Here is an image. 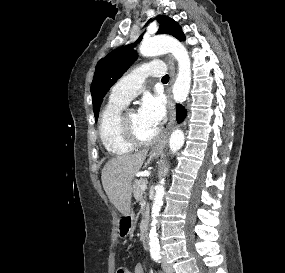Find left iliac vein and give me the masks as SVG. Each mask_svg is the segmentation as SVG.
Wrapping results in <instances>:
<instances>
[{
    "instance_id": "left-iliac-vein-1",
    "label": "left iliac vein",
    "mask_w": 285,
    "mask_h": 273,
    "mask_svg": "<svg viewBox=\"0 0 285 273\" xmlns=\"http://www.w3.org/2000/svg\"><path fill=\"white\" fill-rule=\"evenodd\" d=\"M162 267L165 273H174L172 266L167 263L165 257L162 259Z\"/></svg>"
}]
</instances>
